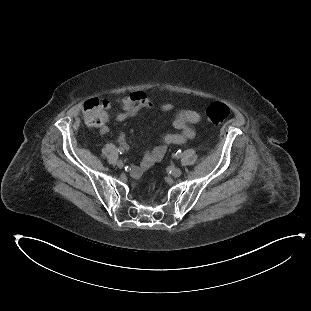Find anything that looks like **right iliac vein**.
<instances>
[{"label": "right iliac vein", "instance_id": "1", "mask_svg": "<svg viewBox=\"0 0 311 311\" xmlns=\"http://www.w3.org/2000/svg\"><path fill=\"white\" fill-rule=\"evenodd\" d=\"M117 166H118V168L122 169V168L124 167L123 161H122V160H119V161L117 162Z\"/></svg>", "mask_w": 311, "mask_h": 311}]
</instances>
